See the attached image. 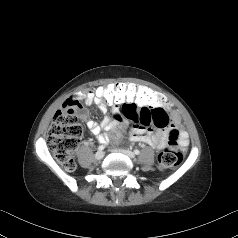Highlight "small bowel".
Wrapping results in <instances>:
<instances>
[{"label": "small bowel", "instance_id": "c3829d8e", "mask_svg": "<svg viewBox=\"0 0 238 238\" xmlns=\"http://www.w3.org/2000/svg\"><path fill=\"white\" fill-rule=\"evenodd\" d=\"M95 90L88 91L70 99L78 101V99L82 98L88 105H97L99 110L105 114L102 121L97 123L89 120L87 112L80 106L82 120L86 122V126L90 133L96 136L101 143H107L109 141L110 136L108 135V132L116 129L120 124L126 125L128 121H132L133 126L129 131V139L131 141L145 143L153 148L162 149L168 143L169 128L177 129L179 125L180 116L178 112L170 110L167 106L163 108L156 107L155 109L150 110V116L152 121L155 122V125L152 123L143 125L139 121H135L123 113L124 109H129L136 117H139L142 110L141 107L133 104L126 106L118 103L111 105L105 104L97 98ZM109 107L114 111L113 118L108 115ZM179 143L183 148L189 143L188 134L183 130H179Z\"/></svg>", "mask_w": 238, "mask_h": 238}]
</instances>
